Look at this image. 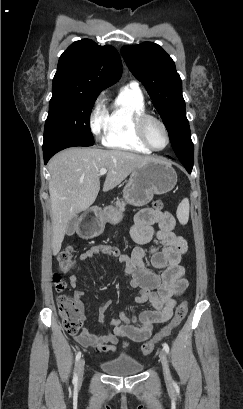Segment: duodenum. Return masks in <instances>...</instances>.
I'll return each instance as SVG.
<instances>
[{
  "label": "duodenum",
  "instance_id": "obj_1",
  "mask_svg": "<svg viewBox=\"0 0 243 409\" xmlns=\"http://www.w3.org/2000/svg\"><path fill=\"white\" fill-rule=\"evenodd\" d=\"M97 210L100 212L101 211V209L100 208H97Z\"/></svg>",
  "mask_w": 243,
  "mask_h": 409
}]
</instances>
